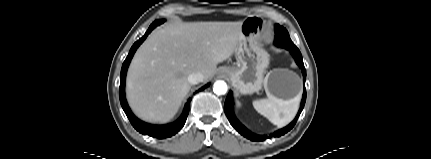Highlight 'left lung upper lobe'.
Instances as JSON below:
<instances>
[{"label": "left lung upper lobe", "mask_w": 431, "mask_h": 159, "mask_svg": "<svg viewBox=\"0 0 431 159\" xmlns=\"http://www.w3.org/2000/svg\"><path fill=\"white\" fill-rule=\"evenodd\" d=\"M275 33H276L275 42L279 46L284 47L286 49H296L297 48L294 45V43L291 41L289 34L284 27L276 24Z\"/></svg>", "instance_id": "1"}]
</instances>
